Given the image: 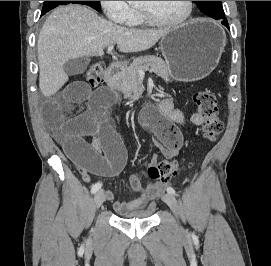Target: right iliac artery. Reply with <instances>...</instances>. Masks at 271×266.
<instances>
[{"mask_svg":"<svg viewBox=\"0 0 271 266\" xmlns=\"http://www.w3.org/2000/svg\"><path fill=\"white\" fill-rule=\"evenodd\" d=\"M102 187V183H95L91 188V193H96Z\"/></svg>","mask_w":271,"mask_h":266,"instance_id":"82829eb1","label":"right iliac artery"}]
</instances>
